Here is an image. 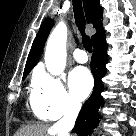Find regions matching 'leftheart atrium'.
I'll use <instances>...</instances> for the list:
<instances>
[{"instance_id":"obj_1","label":"left heart atrium","mask_w":136,"mask_h":136,"mask_svg":"<svg viewBox=\"0 0 136 136\" xmlns=\"http://www.w3.org/2000/svg\"><path fill=\"white\" fill-rule=\"evenodd\" d=\"M70 90L77 100H83L87 97L93 87V79L84 67L75 68L70 74Z\"/></svg>"}]
</instances>
